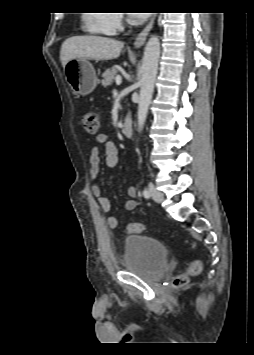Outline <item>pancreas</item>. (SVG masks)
<instances>
[{"label": "pancreas", "instance_id": "pancreas-1", "mask_svg": "<svg viewBox=\"0 0 254 355\" xmlns=\"http://www.w3.org/2000/svg\"><path fill=\"white\" fill-rule=\"evenodd\" d=\"M117 68L112 67L111 69H107L103 74L102 85L104 87L110 86L117 75Z\"/></svg>", "mask_w": 254, "mask_h": 355}]
</instances>
